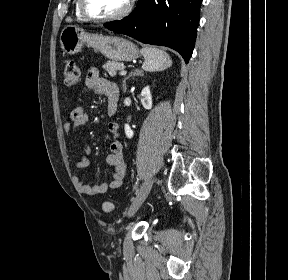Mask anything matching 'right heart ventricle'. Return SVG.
Instances as JSON below:
<instances>
[{
  "instance_id": "right-heart-ventricle-1",
  "label": "right heart ventricle",
  "mask_w": 288,
  "mask_h": 280,
  "mask_svg": "<svg viewBox=\"0 0 288 280\" xmlns=\"http://www.w3.org/2000/svg\"><path fill=\"white\" fill-rule=\"evenodd\" d=\"M74 12H75V16L78 20H81V21H86L87 19H85L82 14L80 13V10H79V4H78V0H76L75 2V7H74Z\"/></svg>"
}]
</instances>
